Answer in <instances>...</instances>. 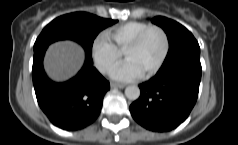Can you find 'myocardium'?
Here are the masks:
<instances>
[{
	"label": "myocardium",
	"instance_id": "obj_1",
	"mask_svg": "<svg viewBox=\"0 0 238 145\" xmlns=\"http://www.w3.org/2000/svg\"><path fill=\"white\" fill-rule=\"evenodd\" d=\"M153 30H157L161 33L163 37L164 46H163L162 54L160 58L158 59V61L156 62V64L149 71L143 74V77H146V78L154 75L162 67V65L164 64L168 56L169 49H170V40L166 30L159 25H150L149 27L144 29L142 32H140L124 50V55H125V53H127L128 51L134 50L137 47H139L141 43L144 41V39L146 38V36Z\"/></svg>",
	"mask_w": 238,
	"mask_h": 145
}]
</instances>
